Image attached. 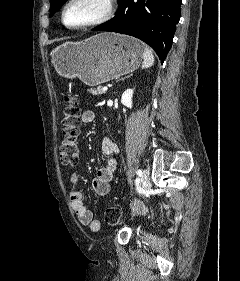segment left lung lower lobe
Returning <instances> with one entry per match:
<instances>
[{
    "label": "left lung lower lobe",
    "mask_w": 240,
    "mask_h": 281,
    "mask_svg": "<svg viewBox=\"0 0 240 281\" xmlns=\"http://www.w3.org/2000/svg\"><path fill=\"white\" fill-rule=\"evenodd\" d=\"M182 0H118L114 18L92 31H111L141 39L150 45L161 63L169 52Z\"/></svg>",
    "instance_id": "1"
}]
</instances>
